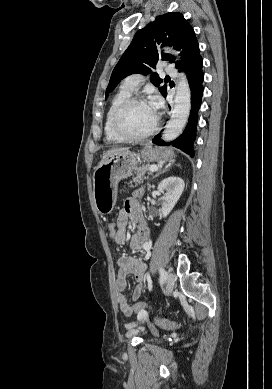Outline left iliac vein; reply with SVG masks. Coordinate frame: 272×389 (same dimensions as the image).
Returning <instances> with one entry per match:
<instances>
[{
  "mask_svg": "<svg viewBox=\"0 0 272 389\" xmlns=\"http://www.w3.org/2000/svg\"><path fill=\"white\" fill-rule=\"evenodd\" d=\"M174 283H175L174 275L172 273H168L166 275V280H165L166 294H169L173 290Z\"/></svg>",
  "mask_w": 272,
  "mask_h": 389,
  "instance_id": "1",
  "label": "left iliac vein"
}]
</instances>
